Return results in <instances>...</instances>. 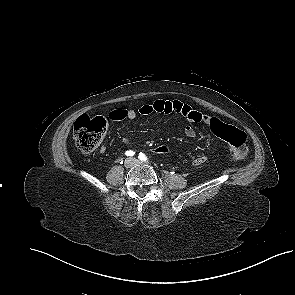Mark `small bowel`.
<instances>
[{
    "instance_id": "1",
    "label": "small bowel",
    "mask_w": 295,
    "mask_h": 295,
    "mask_svg": "<svg viewBox=\"0 0 295 295\" xmlns=\"http://www.w3.org/2000/svg\"><path fill=\"white\" fill-rule=\"evenodd\" d=\"M137 113L141 115H149L151 113L180 114L191 123H202L207 125L215 135H217L215 131V124L223 123L215 117L206 115L193 109L190 105L182 101L160 99L140 106L138 112L133 109H112L109 111L108 117L114 121L134 120L137 117ZM184 133L188 138H194L197 135V132L192 125H187L185 127ZM126 142H129V140L126 139ZM105 150L106 148L104 146L100 148L101 153H104ZM206 160L207 158L204 155L197 156L193 159L192 165L196 167L201 166L206 162Z\"/></svg>"
}]
</instances>
